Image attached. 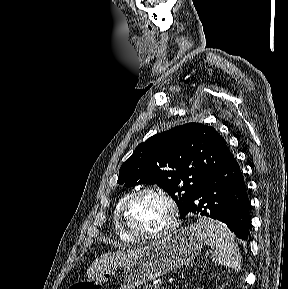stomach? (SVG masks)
I'll list each match as a JSON object with an SVG mask.
<instances>
[{"mask_svg": "<svg viewBox=\"0 0 288 289\" xmlns=\"http://www.w3.org/2000/svg\"><path fill=\"white\" fill-rule=\"evenodd\" d=\"M202 246L203 239L192 225L182 227L145 247L138 258L97 278L76 282L69 289H135L188 264Z\"/></svg>", "mask_w": 288, "mask_h": 289, "instance_id": "1", "label": "stomach"}]
</instances>
